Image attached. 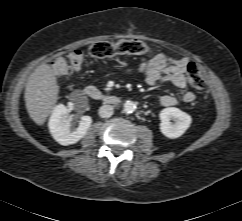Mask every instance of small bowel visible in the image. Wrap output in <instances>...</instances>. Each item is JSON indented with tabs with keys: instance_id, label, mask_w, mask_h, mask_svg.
<instances>
[{
	"instance_id": "small-bowel-1",
	"label": "small bowel",
	"mask_w": 242,
	"mask_h": 221,
	"mask_svg": "<svg viewBox=\"0 0 242 221\" xmlns=\"http://www.w3.org/2000/svg\"><path fill=\"white\" fill-rule=\"evenodd\" d=\"M188 63L187 58H170L165 54H157L143 58L137 69H127L126 72L131 75L142 76L149 85L169 82L176 88L184 90L182 94L183 102L192 103L195 100V94L186 90L185 72ZM159 101L167 107L177 104V98L170 94L160 96Z\"/></svg>"
}]
</instances>
